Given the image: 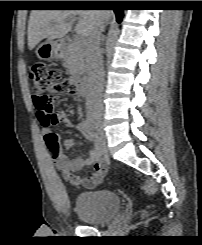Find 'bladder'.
<instances>
[{
    "label": "bladder",
    "mask_w": 202,
    "mask_h": 245,
    "mask_svg": "<svg viewBox=\"0 0 202 245\" xmlns=\"http://www.w3.org/2000/svg\"><path fill=\"white\" fill-rule=\"evenodd\" d=\"M121 198L113 190H84L76 198L74 209L85 224L102 225L117 216Z\"/></svg>",
    "instance_id": "1"
}]
</instances>
